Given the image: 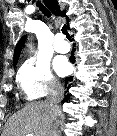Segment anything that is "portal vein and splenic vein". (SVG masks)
<instances>
[{
    "label": "portal vein and splenic vein",
    "mask_w": 117,
    "mask_h": 136,
    "mask_svg": "<svg viewBox=\"0 0 117 136\" xmlns=\"http://www.w3.org/2000/svg\"><path fill=\"white\" fill-rule=\"evenodd\" d=\"M26 136H33V134H27Z\"/></svg>",
    "instance_id": "18ae733b"
}]
</instances>
